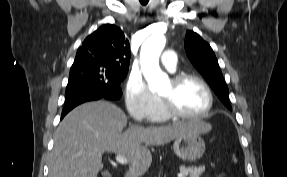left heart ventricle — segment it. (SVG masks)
<instances>
[{"mask_svg":"<svg viewBox=\"0 0 287 177\" xmlns=\"http://www.w3.org/2000/svg\"><path fill=\"white\" fill-rule=\"evenodd\" d=\"M160 95H171L176 108L184 113L199 114L207 106L208 97L203 87L188 81L174 91L171 81L159 92Z\"/></svg>","mask_w":287,"mask_h":177,"instance_id":"b2bd125f","label":"left heart ventricle"}]
</instances>
